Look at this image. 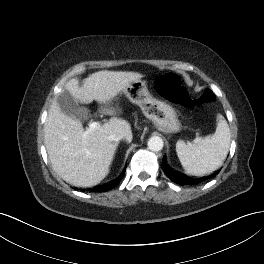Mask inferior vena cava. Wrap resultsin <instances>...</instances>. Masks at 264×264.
<instances>
[{
  "label": "inferior vena cava",
  "instance_id": "obj_1",
  "mask_svg": "<svg viewBox=\"0 0 264 264\" xmlns=\"http://www.w3.org/2000/svg\"><path fill=\"white\" fill-rule=\"evenodd\" d=\"M123 138V135H121V134H116V133H114V134H110L108 137H107V139L109 140V141H119L120 139H122Z\"/></svg>",
  "mask_w": 264,
  "mask_h": 264
}]
</instances>
